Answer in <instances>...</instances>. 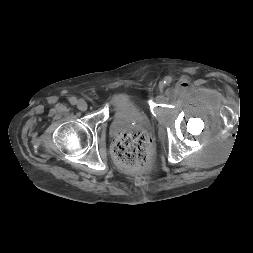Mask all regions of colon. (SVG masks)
I'll list each match as a JSON object with an SVG mask.
<instances>
[{
    "mask_svg": "<svg viewBox=\"0 0 253 253\" xmlns=\"http://www.w3.org/2000/svg\"><path fill=\"white\" fill-rule=\"evenodd\" d=\"M116 163L127 170L143 168L149 159L150 139L144 132L130 130L119 134L111 147Z\"/></svg>",
    "mask_w": 253,
    "mask_h": 253,
    "instance_id": "colon-1",
    "label": "colon"
}]
</instances>
